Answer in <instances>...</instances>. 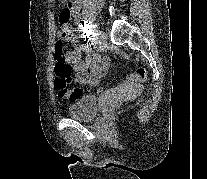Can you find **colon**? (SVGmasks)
<instances>
[{
    "instance_id": "colon-1",
    "label": "colon",
    "mask_w": 207,
    "mask_h": 179,
    "mask_svg": "<svg viewBox=\"0 0 207 179\" xmlns=\"http://www.w3.org/2000/svg\"><path fill=\"white\" fill-rule=\"evenodd\" d=\"M54 59V84L55 88L59 92V96L69 101H73L74 99L82 96V89L71 86L72 68L67 61V55L65 54L64 46L61 41H58L55 45ZM146 77L147 69L140 67L127 78V81L129 83L141 82L144 81Z\"/></svg>"
}]
</instances>
